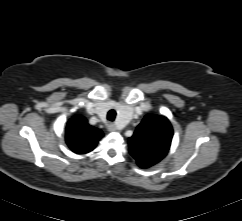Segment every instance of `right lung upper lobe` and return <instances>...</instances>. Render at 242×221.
Returning <instances> with one entry per match:
<instances>
[{"mask_svg": "<svg viewBox=\"0 0 242 221\" xmlns=\"http://www.w3.org/2000/svg\"><path fill=\"white\" fill-rule=\"evenodd\" d=\"M102 137V131L90 126L85 117L81 115L72 117L67 123L66 143L77 154H85L92 151Z\"/></svg>", "mask_w": 242, "mask_h": 221, "instance_id": "1", "label": "right lung upper lobe"}]
</instances>
